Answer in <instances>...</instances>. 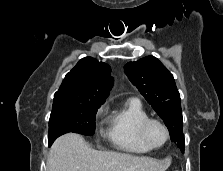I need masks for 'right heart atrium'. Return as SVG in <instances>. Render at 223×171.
<instances>
[{
    "instance_id": "right-heart-atrium-1",
    "label": "right heart atrium",
    "mask_w": 223,
    "mask_h": 171,
    "mask_svg": "<svg viewBox=\"0 0 223 171\" xmlns=\"http://www.w3.org/2000/svg\"><path fill=\"white\" fill-rule=\"evenodd\" d=\"M103 112H104V107H101V108L98 110V115H101Z\"/></svg>"
}]
</instances>
